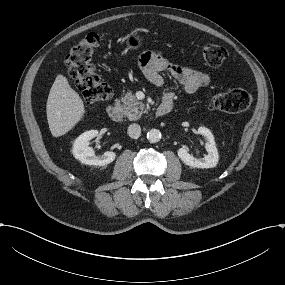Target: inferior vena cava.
<instances>
[{"instance_id":"inferior-vena-cava-1","label":"inferior vena cava","mask_w":285,"mask_h":285,"mask_svg":"<svg viewBox=\"0 0 285 285\" xmlns=\"http://www.w3.org/2000/svg\"><path fill=\"white\" fill-rule=\"evenodd\" d=\"M141 134V128L138 124H131L128 127V135L133 139H138Z\"/></svg>"}]
</instances>
